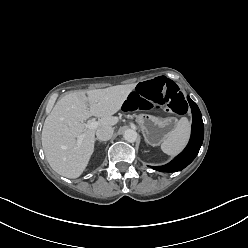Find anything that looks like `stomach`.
<instances>
[{
  "mask_svg": "<svg viewBox=\"0 0 248 248\" xmlns=\"http://www.w3.org/2000/svg\"><path fill=\"white\" fill-rule=\"evenodd\" d=\"M137 122L142 130L145 142L151 146L162 144L177 124L172 117L160 118L150 114L138 115Z\"/></svg>",
  "mask_w": 248,
  "mask_h": 248,
  "instance_id": "0dacf381",
  "label": "stomach"
}]
</instances>
